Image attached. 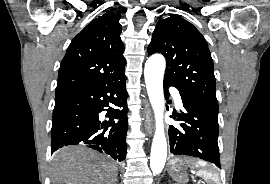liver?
I'll use <instances>...</instances> for the list:
<instances>
[{
    "label": "liver",
    "mask_w": 270,
    "mask_h": 184,
    "mask_svg": "<svg viewBox=\"0 0 270 184\" xmlns=\"http://www.w3.org/2000/svg\"><path fill=\"white\" fill-rule=\"evenodd\" d=\"M117 165L96 152L73 146L61 149L51 167L52 184H116Z\"/></svg>",
    "instance_id": "1"
}]
</instances>
